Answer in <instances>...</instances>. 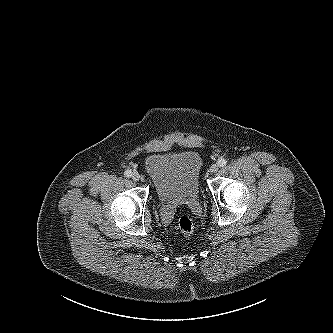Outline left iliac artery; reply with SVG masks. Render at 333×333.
<instances>
[{
  "instance_id": "obj_1",
  "label": "left iliac artery",
  "mask_w": 333,
  "mask_h": 333,
  "mask_svg": "<svg viewBox=\"0 0 333 333\" xmlns=\"http://www.w3.org/2000/svg\"><path fill=\"white\" fill-rule=\"evenodd\" d=\"M226 164H227V160H226V159L221 158V159L218 160V165H219L220 167H223V166H225Z\"/></svg>"
}]
</instances>
